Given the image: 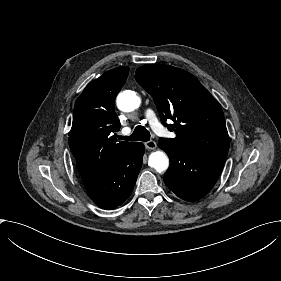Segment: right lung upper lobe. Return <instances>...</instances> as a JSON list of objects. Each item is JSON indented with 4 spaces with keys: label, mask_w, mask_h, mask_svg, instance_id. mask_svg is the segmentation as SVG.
Here are the masks:
<instances>
[{
    "label": "right lung upper lobe",
    "mask_w": 281,
    "mask_h": 281,
    "mask_svg": "<svg viewBox=\"0 0 281 281\" xmlns=\"http://www.w3.org/2000/svg\"><path fill=\"white\" fill-rule=\"evenodd\" d=\"M128 73L127 66L107 71L76 100L69 146L82 180L112 167L134 143H118L113 135L121 126L114 102Z\"/></svg>",
    "instance_id": "1"
}]
</instances>
